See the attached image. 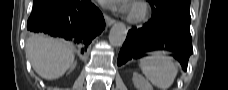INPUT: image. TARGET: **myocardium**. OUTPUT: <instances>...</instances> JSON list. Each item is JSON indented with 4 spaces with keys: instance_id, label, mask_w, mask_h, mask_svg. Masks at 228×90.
I'll list each match as a JSON object with an SVG mask.
<instances>
[{
    "instance_id": "obj_1",
    "label": "myocardium",
    "mask_w": 228,
    "mask_h": 90,
    "mask_svg": "<svg viewBox=\"0 0 228 90\" xmlns=\"http://www.w3.org/2000/svg\"><path fill=\"white\" fill-rule=\"evenodd\" d=\"M148 16V9L145 4L142 2H136L133 4L129 15H128V20L131 23H141L144 20H146Z\"/></svg>"
}]
</instances>
